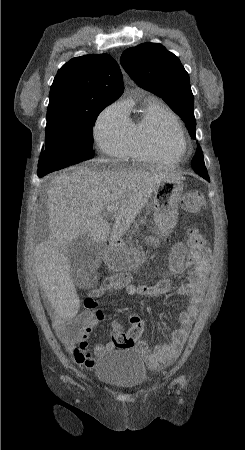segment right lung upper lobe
Here are the masks:
<instances>
[{
	"instance_id": "obj_1",
	"label": "right lung upper lobe",
	"mask_w": 245,
	"mask_h": 450,
	"mask_svg": "<svg viewBox=\"0 0 245 450\" xmlns=\"http://www.w3.org/2000/svg\"><path fill=\"white\" fill-rule=\"evenodd\" d=\"M123 91L120 68L110 55L76 57L58 70L47 113L89 111L96 104H111Z\"/></svg>"
}]
</instances>
